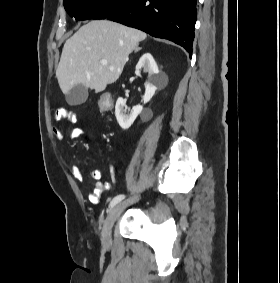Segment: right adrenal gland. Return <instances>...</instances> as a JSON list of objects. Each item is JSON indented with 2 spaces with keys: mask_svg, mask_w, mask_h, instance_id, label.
<instances>
[{
  "mask_svg": "<svg viewBox=\"0 0 280 283\" xmlns=\"http://www.w3.org/2000/svg\"><path fill=\"white\" fill-rule=\"evenodd\" d=\"M140 48L135 49V52H137Z\"/></svg>",
  "mask_w": 280,
  "mask_h": 283,
  "instance_id": "1",
  "label": "right adrenal gland"
}]
</instances>
